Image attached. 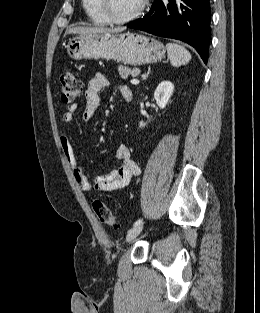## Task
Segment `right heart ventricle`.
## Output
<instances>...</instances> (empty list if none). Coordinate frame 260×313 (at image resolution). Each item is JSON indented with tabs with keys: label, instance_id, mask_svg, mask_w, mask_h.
Instances as JSON below:
<instances>
[{
	"label": "right heart ventricle",
	"instance_id": "e07e8e85",
	"mask_svg": "<svg viewBox=\"0 0 260 313\" xmlns=\"http://www.w3.org/2000/svg\"><path fill=\"white\" fill-rule=\"evenodd\" d=\"M81 2L87 17L92 23L96 25H106L109 23L98 7V0H81Z\"/></svg>",
	"mask_w": 260,
	"mask_h": 313
}]
</instances>
